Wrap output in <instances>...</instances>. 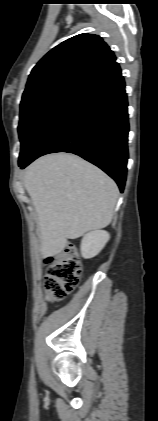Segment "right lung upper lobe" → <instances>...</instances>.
I'll list each match as a JSON object with an SVG mask.
<instances>
[{
	"label": "right lung upper lobe",
	"instance_id": "right-lung-upper-lobe-1",
	"mask_svg": "<svg viewBox=\"0 0 158 421\" xmlns=\"http://www.w3.org/2000/svg\"><path fill=\"white\" fill-rule=\"evenodd\" d=\"M115 60L113 52L98 35H76L53 48L37 63L23 96L60 82L83 84Z\"/></svg>",
	"mask_w": 158,
	"mask_h": 421
}]
</instances>
